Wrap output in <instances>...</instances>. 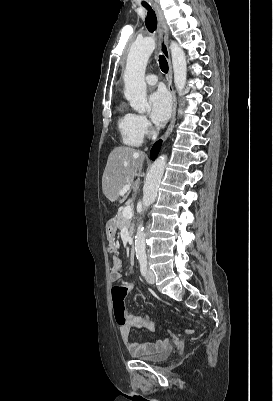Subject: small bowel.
<instances>
[{
    "label": "small bowel",
    "instance_id": "c3829d8e",
    "mask_svg": "<svg viewBox=\"0 0 273 401\" xmlns=\"http://www.w3.org/2000/svg\"><path fill=\"white\" fill-rule=\"evenodd\" d=\"M121 268H122V260L119 257H114L111 261V268H110V280L112 282H117L120 280ZM126 316H127L126 324L119 326V334L124 343L129 345L132 354L138 356L155 355L167 349L168 342L166 340H160L156 342L131 343L129 341V336H130V330L132 328L154 331L155 327L147 315H135L132 313H126ZM185 333L191 334L192 328L186 327Z\"/></svg>",
    "mask_w": 273,
    "mask_h": 401
}]
</instances>
